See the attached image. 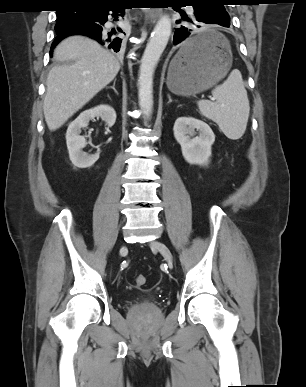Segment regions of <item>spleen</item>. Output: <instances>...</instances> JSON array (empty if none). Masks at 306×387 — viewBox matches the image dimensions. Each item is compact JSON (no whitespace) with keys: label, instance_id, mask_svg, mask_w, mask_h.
<instances>
[{"label":"spleen","instance_id":"1","mask_svg":"<svg viewBox=\"0 0 306 387\" xmlns=\"http://www.w3.org/2000/svg\"><path fill=\"white\" fill-rule=\"evenodd\" d=\"M215 102L200 100L198 108L203 116L216 122L220 130L232 140L245 132L250 106L247 91L239 70L231 71L228 78L212 90Z\"/></svg>","mask_w":306,"mask_h":387}]
</instances>
